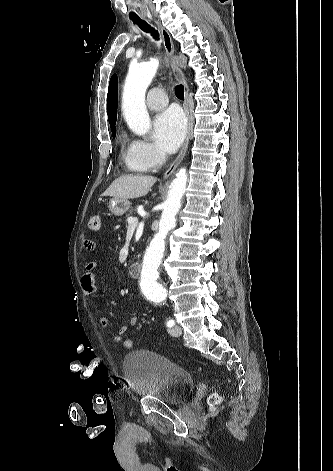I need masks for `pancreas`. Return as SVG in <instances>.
<instances>
[{"instance_id": "cf45deb5", "label": "pancreas", "mask_w": 333, "mask_h": 471, "mask_svg": "<svg viewBox=\"0 0 333 471\" xmlns=\"http://www.w3.org/2000/svg\"><path fill=\"white\" fill-rule=\"evenodd\" d=\"M134 209L131 208L130 211H129V216L133 213Z\"/></svg>"}]
</instances>
